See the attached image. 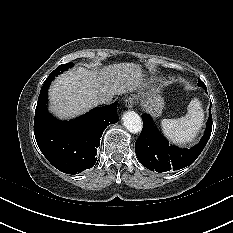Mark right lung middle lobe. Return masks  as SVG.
<instances>
[{
	"mask_svg": "<svg viewBox=\"0 0 233 233\" xmlns=\"http://www.w3.org/2000/svg\"><path fill=\"white\" fill-rule=\"evenodd\" d=\"M73 66V63H66V64H62L60 66H58L53 72L52 74L54 76H57L58 74H60V72L66 71L67 69L71 68Z\"/></svg>",
	"mask_w": 233,
	"mask_h": 233,
	"instance_id": "1",
	"label": "right lung middle lobe"
}]
</instances>
